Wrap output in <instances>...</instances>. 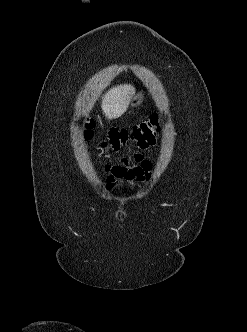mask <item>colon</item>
<instances>
[{
	"label": "colon",
	"mask_w": 247,
	"mask_h": 332,
	"mask_svg": "<svg viewBox=\"0 0 247 332\" xmlns=\"http://www.w3.org/2000/svg\"><path fill=\"white\" fill-rule=\"evenodd\" d=\"M158 125V116L152 115L147 121L141 122L132 128L111 129L108 133L107 140L104 142V147L118 150L127 144H132L140 149H146L154 144ZM93 126L94 123L92 120L88 119L85 122V139L89 140L92 138Z\"/></svg>",
	"instance_id": "1"
}]
</instances>
